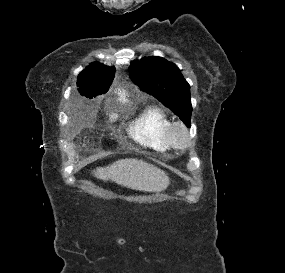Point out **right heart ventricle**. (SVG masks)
Segmentation results:
<instances>
[{
	"label": "right heart ventricle",
	"instance_id": "1",
	"mask_svg": "<svg viewBox=\"0 0 285 273\" xmlns=\"http://www.w3.org/2000/svg\"><path fill=\"white\" fill-rule=\"evenodd\" d=\"M172 123L163 109L149 106L128 125L127 134L140 146L166 153L173 149L168 139V130Z\"/></svg>",
	"mask_w": 285,
	"mask_h": 273
}]
</instances>
